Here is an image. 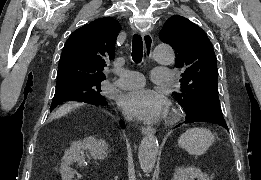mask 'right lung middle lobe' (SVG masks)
Instances as JSON below:
<instances>
[{
    "mask_svg": "<svg viewBox=\"0 0 261 180\" xmlns=\"http://www.w3.org/2000/svg\"><path fill=\"white\" fill-rule=\"evenodd\" d=\"M101 80H69L56 83L51 109L66 101L98 103L105 100L101 95Z\"/></svg>",
    "mask_w": 261,
    "mask_h": 180,
    "instance_id": "dd1d6c3e",
    "label": "right lung middle lobe"
}]
</instances>
